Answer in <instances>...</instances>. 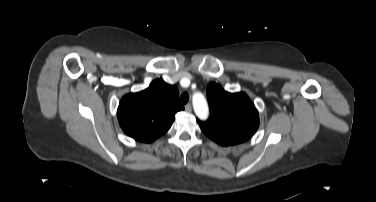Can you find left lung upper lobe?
Returning a JSON list of instances; mask_svg holds the SVG:
<instances>
[{
    "instance_id": "left-lung-upper-lobe-1",
    "label": "left lung upper lobe",
    "mask_w": 376,
    "mask_h": 202,
    "mask_svg": "<svg viewBox=\"0 0 376 202\" xmlns=\"http://www.w3.org/2000/svg\"><path fill=\"white\" fill-rule=\"evenodd\" d=\"M210 117L201 130L216 143L228 146L250 139L259 126L258 111L245 93H229L219 84L207 86Z\"/></svg>"
}]
</instances>
